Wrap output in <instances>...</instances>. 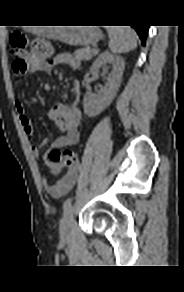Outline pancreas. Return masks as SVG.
Listing matches in <instances>:
<instances>
[{"label": "pancreas", "instance_id": "obj_1", "mask_svg": "<svg viewBox=\"0 0 184 292\" xmlns=\"http://www.w3.org/2000/svg\"><path fill=\"white\" fill-rule=\"evenodd\" d=\"M96 54L97 53H94L93 49H91L90 47H84L75 51L74 57L77 61H83L90 60Z\"/></svg>", "mask_w": 184, "mask_h": 292}]
</instances>
